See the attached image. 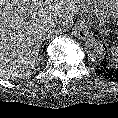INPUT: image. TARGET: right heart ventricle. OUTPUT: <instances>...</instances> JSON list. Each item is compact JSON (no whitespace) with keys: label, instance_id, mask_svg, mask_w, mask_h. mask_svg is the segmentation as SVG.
<instances>
[{"label":"right heart ventricle","instance_id":"obj_1","mask_svg":"<svg viewBox=\"0 0 118 118\" xmlns=\"http://www.w3.org/2000/svg\"><path fill=\"white\" fill-rule=\"evenodd\" d=\"M100 6L118 14V0H97Z\"/></svg>","mask_w":118,"mask_h":118}]
</instances>
